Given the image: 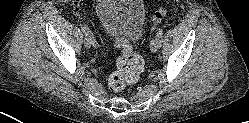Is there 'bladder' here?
Here are the masks:
<instances>
[{
  "instance_id": "obj_1",
  "label": "bladder",
  "mask_w": 249,
  "mask_h": 123,
  "mask_svg": "<svg viewBox=\"0 0 249 123\" xmlns=\"http://www.w3.org/2000/svg\"><path fill=\"white\" fill-rule=\"evenodd\" d=\"M95 11L111 40L136 42L144 32L146 12L142 0H97Z\"/></svg>"
}]
</instances>
